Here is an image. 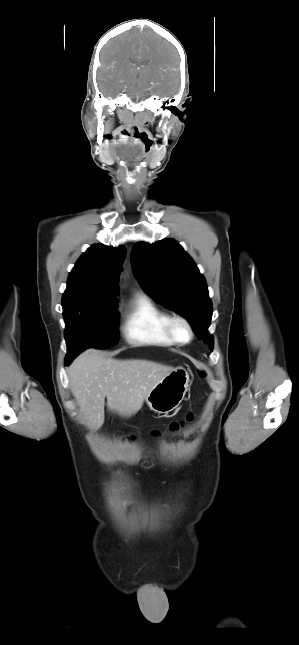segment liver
<instances>
[{
    "instance_id": "liver-1",
    "label": "liver",
    "mask_w": 299,
    "mask_h": 645,
    "mask_svg": "<svg viewBox=\"0 0 299 645\" xmlns=\"http://www.w3.org/2000/svg\"><path fill=\"white\" fill-rule=\"evenodd\" d=\"M174 368L147 360L106 358L97 349L81 353L67 373L80 412L91 430L104 423V405L131 417L142 407L151 389Z\"/></svg>"
}]
</instances>
